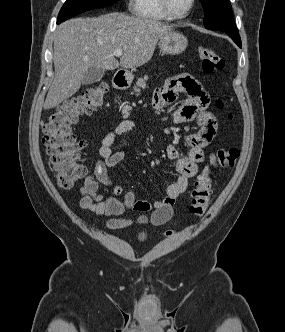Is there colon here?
Returning a JSON list of instances; mask_svg holds the SVG:
<instances>
[{
	"mask_svg": "<svg viewBox=\"0 0 285 332\" xmlns=\"http://www.w3.org/2000/svg\"><path fill=\"white\" fill-rule=\"evenodd\" d=\"M199 56L202 69L207 74L220 71L224 67L223 59L209 47H200ZM107 91L106 83L92 85L79 96L59 105L42 125V143L46 148L51 170L62 188L74 186L86 175V168L80 162L83 143L77 140L72 126L81 116L95 111L102 104ZM216 104L223 108L225 101L218 99ZM239 155V149L228 148L220 149L211 156L209 164L198 175L194 188L190 191L192 214L202 216L209 206L213 170L233 168ZM171 233L168 231L166 235L169 236Z\"/></svg>",
	"mask_w": 285,
	"mask_h": 332,
	"instance_id": "colon-1",
	"label": "colon"
}]
</instances>
